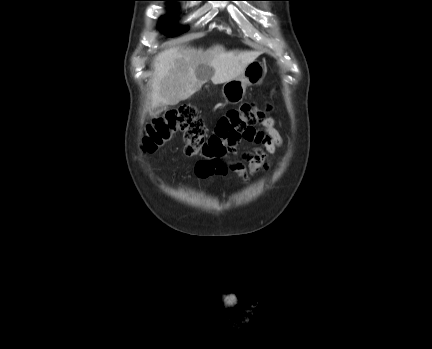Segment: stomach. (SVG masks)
<instances>
[{
    "mask_svg": "<svg viewBox=\"0 0 432 349\" xmlns=\"http://www.w3.org/2000/svg\"><path fill=\"white\" fill-rule=\"evenodd\" d=\"M266 72V67L259 61L250 63L242 75L223 84L222 94L225 100L231 104L241 102L246 94L247 86L261 83Z\"/></svg>",
    "mask_w": 432,
    "mask_h": 349,
    "instance_id": "obj_1",
    "label": "stomach"
}]
</instances>
